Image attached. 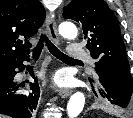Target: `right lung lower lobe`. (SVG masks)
<instances>
[{"label":"right lung lower lobe","instance_id":"right-lung-lower-lobe-1","mask_svg":"<svg viewBox=\"0 0 133 118\" xmlns=\"http://www.w3.org/2000/svg\"><path fill=\"white\" fill-rule=\"evenodd\" d=\"M28 60L29 56L5 67L6 71L0 77V114L14 118H31V113L36 109L40 88L36 83L37 77H34L32 70H29L35 80V83H30L32 92H25L23 90L24 84L13 80L17 73L15 69L23 71L25 69L23 62Z\"/></svg>","mask_w":133,"mask_h":118}]
</instances>
